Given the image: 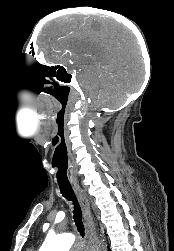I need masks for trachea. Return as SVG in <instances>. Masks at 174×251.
<instances>
[{
    "mask_svg": "<svg viewBox=\"0 0 174 251\" xmlns=\"http://www.w3.org/2000/svg\"><path fill=\"white\" fill-rule=\"evenodd\" d=\"M58 185L63 197H65L69 201H72V204L74 205L73 218L77 226V229L80 232V235L84 237L85 233H84V226L82 223V212L79 203L77 201V198L75 196V193L72 190L70 183L58 182Z\"/></svg>",
    "mask_w": 174,
    "mask_h": 251,
    "instance_id": "1",
    "label": "trachea"
}]
</instances>
